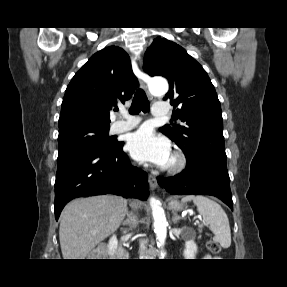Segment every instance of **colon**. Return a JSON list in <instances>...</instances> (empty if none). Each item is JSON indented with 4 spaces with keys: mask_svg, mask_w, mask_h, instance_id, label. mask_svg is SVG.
Here are the masks:
<instances>
[{
    "mask_svg": "<svg viewBox=\"0 0 287 287\" xmlns=\"http://www.w3.org/2000/svg\"><path fill=\"white\" fill-rule=\"evenodd\" d=\"M206 246L212 254H218L221 250L220 245L213 240H208Z\"/></svg>",
    "mask_w": 287,
    "mask_h": 287,
    "instance_id": "1",
    "label": "colon"
}]
</instances>
